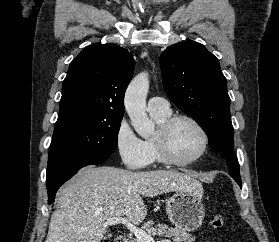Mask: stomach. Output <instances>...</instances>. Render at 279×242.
I'll use <instances>...</instances> for the list:
<instances>
[{
    "mask_svg": "<svg viewBox=\"0 0 279 242\" xmlns=\"http://www.w3.org/2000/svg\"><path fill=\"white\" fill-rule=\"evenodd\" d=\"M201 193L202 190L178 191L166 200V213L176 228L192 232L202 225L205 208Z\"/></svg>",
    "mask_w": 279,
    "mask_h": 242,
    "instance_id": "0dacf381",
    "label": "stomach"
}]
</instances>
